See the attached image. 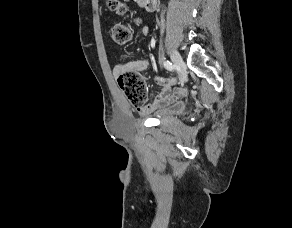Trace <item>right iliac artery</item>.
<instances>
[{"mask_svg": "<svg viewBox=\"0 0 292 228\" xmlns=\"http://www.w3.org/2000/svg\"><path fill=\"white\" fill-rule=\"evenodd\" d=\"M163 65L169 71H173L175 69V66L168 60L164 61Z\"/></svg>", "mask_w": 292, "mask_h": 228, "instance_id": "obj_1", "label": "right iliac artery"}]
</instances>
